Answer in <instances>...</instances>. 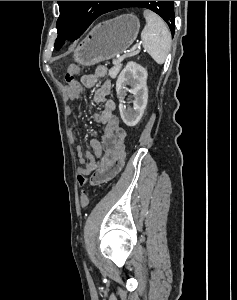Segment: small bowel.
<instances>
[{"mask_svg":"<svg viewBox=\"0 0 237 300\" xmlns=\"http://www.w3.org/2000/svg\"><path fill=\"white\" fill-rule=\"evenodd\" d=\"M108 68L106 65H99L94 72L82 76V85L91 88L99 84L93 95V101L102 105L100 112L93 113L94 120L105 127L103 139L100 142L92 139L90 144L93 152L85 151L82 147L76 148L81 167L79 172L91 175L93 185L101 184L113 179L123 168L125 163V139L126 130L120 120L114 114L116 105L114 101L107 99L112 89V83L107 79ZM81 85L64 87V93L69 100L78 99L81 92ZM69 110L67 114H70ZM87 205V200H82V206Z\"/></svg>","mask_w":237,"mask_h":300,"instance_id":"c3829d8e","label":"small bowel"}]
</instances>
